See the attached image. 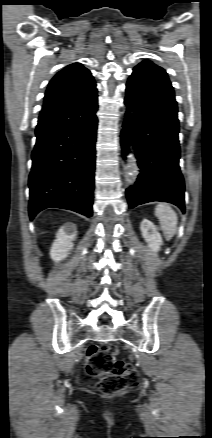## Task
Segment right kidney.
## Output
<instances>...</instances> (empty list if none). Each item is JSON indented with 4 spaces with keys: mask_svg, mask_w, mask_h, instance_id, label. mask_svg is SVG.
<instances>
[{
    "mask_svg": "<svg viewBox=\"0 0 212 438\" xmlns=\"http://www.w3.org/2000/svg\"><path fill=\"white\" fill-rule=\"evenodd\" d=\"M76 227L74 224L67 223L63 225L56 233L50 256L53 261L59 262L67 257L69 251L73 248V240L76 238Z\"/></svg>",
    "mask_w": 212,
    "mask_h": 438,
    "instance_id": "1",
    "label": "right kidney"
}]
</instances>
